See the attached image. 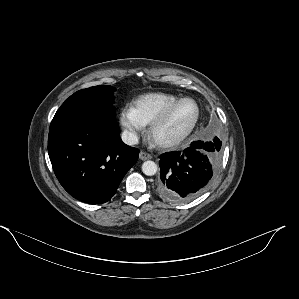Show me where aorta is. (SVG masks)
<instances>
[{
  "instance_id": "1",
  "label": "aorta",
  "mask_w": 299,
  "mask_h": 299,
  "mask_svg": "<svg viewBox=\"0 0 299 299\" xmlns=\"http://www.w3.org/2000/svg\"><path fill=\"white\" fill-rule=\"evenodd\" d=\"M157 164L154 161H145L142 164V172L147 176H153L157 172Z\"/></svg>"
}]
</instances>
